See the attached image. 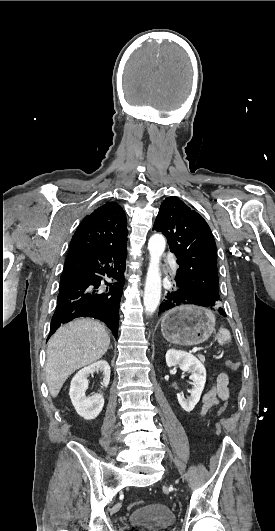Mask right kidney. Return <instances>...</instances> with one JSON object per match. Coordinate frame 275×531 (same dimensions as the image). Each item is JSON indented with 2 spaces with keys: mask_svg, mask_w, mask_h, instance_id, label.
<instances>
[{
  "mask_svg": "<svg viewBox=\"0 0 275 531\" xmlns=\"http://www.w3.org/2000/svg\"><path fill=\"white\" fill-rule=\"evenodd\" d=\"M94 371H102L104 375L102 387H107V385H109L111 373L109 363H107V361H97V363H93V365H89V367H84V369H81V371H78V373L74 375L69 391L70 399L76 413H78L80 417H83V419H87V421H90V419H96L104 407V397L102 393L93 395V397H86L85 395L86 389H88L87 377H89L90 373H94Z\"/></svg>",
  "mask_w": 275,
  "mask_h": 531,
  "instance_id": "ca27d5eb",
  "label": "right kidney"
}]
</instances>
